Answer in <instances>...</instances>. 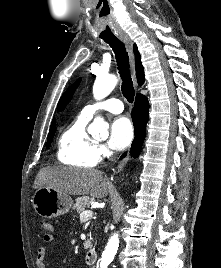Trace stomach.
Segmentation results:
<instances>
[{
  "label": "stomach",
  "mask_w": 221,
  "mask_h": 268,
  "mask_svg": "<svg viewBox=\"0 0 221 268\" xmlns=\"http://www.w3.org/2000/svg\"><path fill=\"white\" fill-rule=\"evenodd\" d=\"M32 202L36 213L48 219L69 212L73 204L72 198L68 194L46 187L38 188L35 191Z\"/></svg>",
  "instance_id": "obj_1"
}]
</instances>
